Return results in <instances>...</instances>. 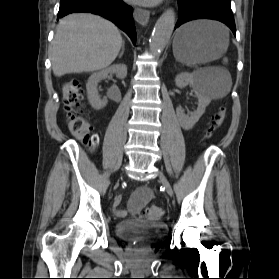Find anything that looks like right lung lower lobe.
I'll return each mask as SVG.
<instances>
[{"label":"right lung lower lobe","mask_w":279,"mask_h":279,"mask_svg":"<svg viewBox=\"0 0 279 279\" xmlns=\"http://www.w3.org/2000/svg\"><path fill=\"white\" fill-rule=\"evenodd\" d=\"M74 12H90L107 18L136 42L132 8L122 0H61L58 17Z\"/></svg>","instance_id":"98d812e1"}]
</instances>
